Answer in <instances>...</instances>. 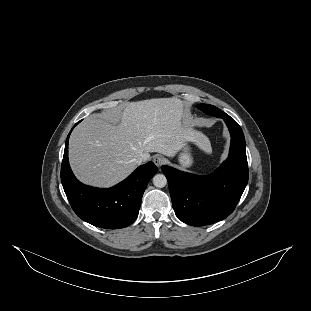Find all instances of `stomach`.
<instances>
[{
    "mask_svg": "<svg viewBox=\"0 0 311 311\" xmlns=\"http://www.w3.org/2000/svg\"><path fill=\"white\" fill-rule=\"evenodd\" d=\"M191 157L188 153H182L180 155V163L183 167H187L191 164Z\"/></svg>",
    "mask_w": 311,
    "mask_h": 311,
    "instance_id": "obj_1",
    "label": "stomach"
}]
</instances>
